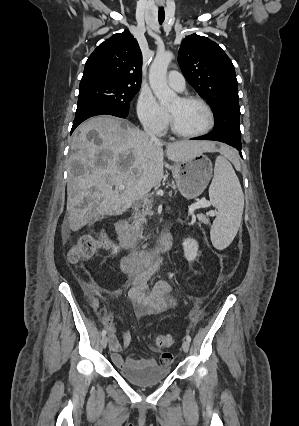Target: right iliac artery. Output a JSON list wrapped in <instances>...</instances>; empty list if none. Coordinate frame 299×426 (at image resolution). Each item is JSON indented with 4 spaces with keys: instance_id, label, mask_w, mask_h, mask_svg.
I'll return each instance as SVG.
<instances>
[{
    "instance_id": "right-iliac-artery-1",
    "label": "right iliac artery",
    "mask_w": 299,
    "mask_h": 426,
    "mask_svg": "<svg viewBox=\"0 0 299 426\" xmlns=\"http://www.w3.org/2000/svg\"><path fill=\"white\" fill-rule=\"evenodd\" d=\"M106 334H107V330H106V329H104V330L102 331L101 335H102V336H105Z\"/></svg>"
}]
</instances>
